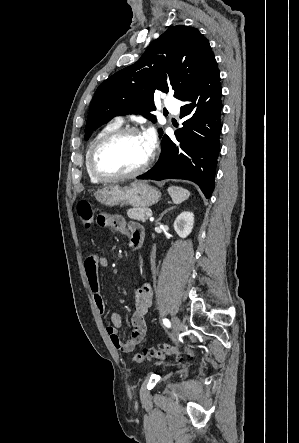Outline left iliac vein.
<instances>
[{
	"mask_svg": "<svg viewBox=\"0 0 299 443\" xmlns=\"http://www.w3.org/2000/svg\"><path fill=\"white\" fill-rule=\"evenodd\" d=\"M172 328H173V336L172 339L175 340L179 334V332L182 330V323L180 319L176 316L172 318Z\"/></svg>",
	"mask_w": 299,
	"mask_h": 443,
	"instance_id": "obj_1",
	"label": "left iliac vein"
}]
</instances>
